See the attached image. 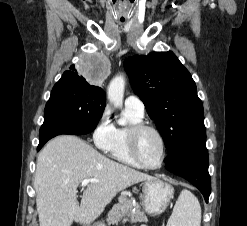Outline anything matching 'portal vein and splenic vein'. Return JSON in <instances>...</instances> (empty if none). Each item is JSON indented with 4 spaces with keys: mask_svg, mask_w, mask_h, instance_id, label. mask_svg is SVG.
Returning <instances> with one entry per match:
<instances>
[{
    "mask_svg": "<svg viewBox=\"0 0 247 226\" xmlns=\"http://www.w3.org/2000/svg\"><path fill=\"white\" fill-rule=\"evenodd\" d=\"M99 182V180H96V179H84L82 182H81V186L82 187H85L86 185H88L89 183H97Z\"/></svg>",
    "mask_w": 247,
    "mask_h": 226,
    "instance_id": "portal-vein-and-splenic-vein-1",
    "label": "portal vein and splenic vein"
}]
</instances>
